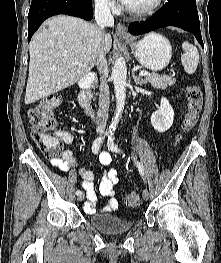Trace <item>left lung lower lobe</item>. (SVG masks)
<instances>
[{
	"label": "left lung lower lobe",
	"mask_w": 221,
	"mask_h": 263,
	"mask_svg": "<svg viewBox=\"0 0 221 263\" xmlns=\"http://www.w3.org/2000/svg\"><path fill=\"white\" fill-rule=\"evenodd\" d=\"M166 26H176L193 33L200 45L204 47L196 0H167V3L151 18L131 23L128 31L133 35H141Z\"/></svg>",
	"instance_id": "1"
}]
</instances>
